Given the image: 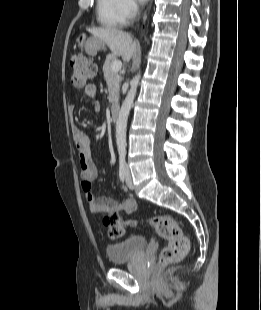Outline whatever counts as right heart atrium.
<instances>
[{
  "label": "right heart atrium",
  "mask_w": 261,
  "mask_h": 310,
  "mask_svg": "<svg viewBox=\"0 0 261 310\" xmlns=\"http://www.w3.org/2000/svg\"><path fill=\"white\" fill-rule=\"evenodd\" d=\"M119 10L125 23H128L139 13V6L136 0H119Z\"/></svg>",
  "instance_id": "1"
}]
</instances>
